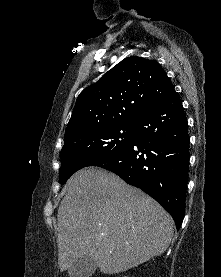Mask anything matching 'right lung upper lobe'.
<instances>
[{
	"label": "right lung upper lobe",
	"mask_w": 221,
	"mask_h": 277,
	"mask_svg": "<svg viewBox=\"0 0 221 277\" xmlns=\"http://www.w3.org/2000/svg\"><path fill=\"white\" fill-rule=\"evenodd\" d=\"M174 91L158 62L127 57L80 93L67 125L65 140L96 126L133 124Z\"/></svg>",
	"instance_id": "right-lung-upper-lobe-1"
}]
</instances>
